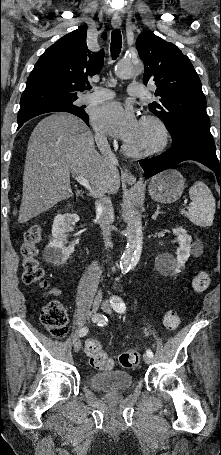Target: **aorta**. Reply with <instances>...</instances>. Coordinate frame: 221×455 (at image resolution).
Instances as JSON below:
<instances>
[{
	"label": "aorta",
	"instance_id": "1",
	"mask_svg": "<svg viewBox=\"0 0 221 455\" xmlns=\"http://www.w3.org/2000/svg\"><path fill=\"white\" fill-rule=\"evenodd\" d=\"M143 64L138 59L125 57L116 68L120 79H128L143 72ZM127 227L125 231L127 245L120 260V269L124 272L134 267L140 259L143 245L142 221L139 212L132 205L126 211Z\"/></svg>",
	"mask_w": 221,
	"mask_h": 455
}]
</instances>
